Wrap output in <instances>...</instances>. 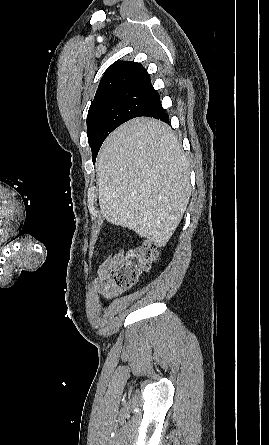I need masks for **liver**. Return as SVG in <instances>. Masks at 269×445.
I'll return each instance as SVG.
<instances>
[{
	"label": "liver",
	"instance_id": "liver-1",
	"mask_svg": "<svg viewBox=\"0 0 269 445\" xmlns=\"http://www.w3.org/2000/svg\"><path fill=\"white\" fill-rule=\"evenodd\" d=\"M96 171L103 217L165 246L191 195L189 161L170 127L150 118L126 122L103 143Z\"/></svg>",
	"mask_w": 269,
	"mask_h": 445
}]
</instances>
